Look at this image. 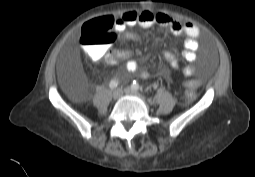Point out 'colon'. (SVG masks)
Listing matches in <instances>:
<instances>
[{"label":"colon","mask_w":255,"mask_h":177,"mask_svg":"<svg viewBox=\"0 0 255 177\" xmlns=\"http://www.w3.org/2000/svg\"><path fill=\"white\" fill-rule=\"evenodd\" d=\"M82 40L86 45L92 47H108L114 41V34L111 32V25L104 17L86 22L82 27ZM196 97L194 88H189L186 93L187 100H194Z\"/></svg>","instance_id":"5ec220e1"}]
</instances>
